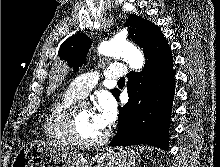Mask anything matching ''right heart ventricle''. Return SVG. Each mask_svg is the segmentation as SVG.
<instances>
[{
    "mask_svg": "<svg viewBox=\"0 0 220 167\" xmlns=\"http://www.w3.org/2000/svg\"><path fill=\"white\" fill-rule=\"evenodd\" d=\"M78 99L77 95L67 90L50 103L43 123V134L46 138L59 145L72 144L66 135L63 123L67 110Z\"/></svg>",
    "mask_w": 220,
    "mask_h": 167,
    "instance_id": "right-heart-ventricle-1",
    "label": "right heart ventricle"
}]
</instances>
